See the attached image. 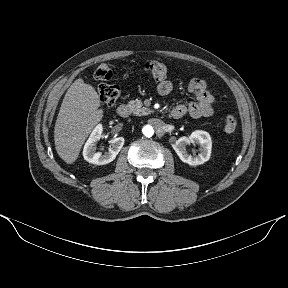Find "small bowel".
<instances>
[{"label": "small bowel", "mask_w": 288, "mask_h": 288, "mask_svg": "<svg viewBox=\"0 0 288 288\" xmlns=\"http://www.w3.org/2000/svg\"><path fill=\"white\" fill-rule=\"evenodd\" d=\"M160 95L167 96L173 90V85L169 80H161L157 86ZM188 90L195 95L196 101L187 105L178 104L172 110L174 118H181L189 114L193 118L208 117L213 114L215 98L208 90L207 83L199 78L192 79L188 84Z\"/></svg>", "instance_id": "small-bowel-1"}]
</instances>
